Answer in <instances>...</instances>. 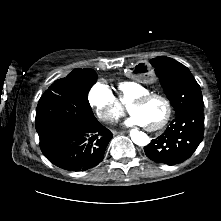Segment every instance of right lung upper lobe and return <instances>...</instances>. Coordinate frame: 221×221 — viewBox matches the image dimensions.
Returning <instances> with one entry per match:
<instances>
[{
    "label": "right lung upper lobe",
    "mask_w": 221,
    "mask_h": 221,
    "mask_svg": "<svg viewBox=\"0 0 221 221\" xmlns=\"http://www.w3.org/2000/svg\"><path fill=\"white\" fill-rule=\"evenodd\" d=\"M88 70H91V69H74L70 74L69 76H73V75H76L78 73H82V72H85V71H88Z\"/></svg>",
    "instance_id": "obj_1"
}]
</instances>
